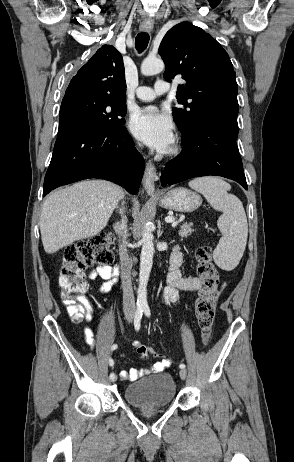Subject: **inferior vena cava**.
I'll use <instances>...</instances> for the list:
<instances>
[{
    "instance_id": "602c4592",
    "label": "inferior vena cava",
    "mask_w": 294,
    "mask_h": 462,
    "mask_svg": "<svg viewBox=\"0 0 294 462\" xmlns=\"http://www.w3.org/2000/svg\"><path fill=\"white\" fill-rule=\"evenodd\" d=\"M120 213H123V208L120 209ZM116 229L122 233L127 230V219L123 216L122 221L116 224ZM121 279L123 288V312L125 315H133L135 313V301L131 282L130 268L126 261L125 251L121 254Z\"/></svg>"
}]
</instances>
